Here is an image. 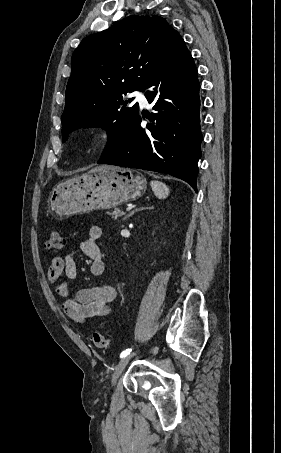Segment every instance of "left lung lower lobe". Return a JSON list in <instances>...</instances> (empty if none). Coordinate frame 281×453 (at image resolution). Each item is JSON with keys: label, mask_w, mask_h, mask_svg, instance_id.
<instances>
[{"label": "left lung lower lobe", "mask_w": 281, "mask_h": 453, "mask_svg": "<svg viewBox=\"0 0 281 453\" xmlns=\"http://www.w3.org/2000/svg\"><path fill=\"white\" fill-rule=\"evenodd\" d=\"M145 96L158 113L140 126L138 115L121 140L98 161L170 174L197 191L200 144V84L193 58L180 35L150 80ZM145 117V116H144Z\"/></svg>", "instance_id": "left-lung-lower-lobe-1"}]
</instances>
